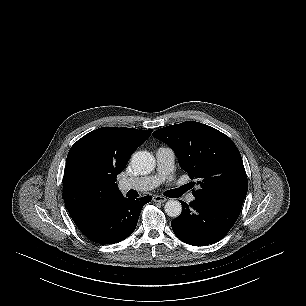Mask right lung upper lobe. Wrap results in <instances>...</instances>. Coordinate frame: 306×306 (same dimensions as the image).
<instances>
[{"label":"right lung upper lobe","instance_id":"obj_1","mask_svg":"<svg viewBox=\"0 0 306 306\" xmlns=\"http://www.w3.org/2000/svg\"><path fill=\"white\" fill-rule=\"evenodd\" d=\"M152 130L103 127L80 138L70 149L63 178L66 208L76 225L123 197L116 182L131 154Z\"/></svg>","mask_w":306,"mask_h":306}]
</instances>
